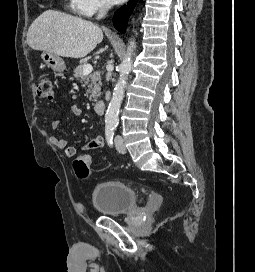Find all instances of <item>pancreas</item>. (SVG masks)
Returning <instances> with one entry per match:
<instances>
[{"label":"pancreas","mask_w":255,"mask_h":272,"mask_svg":"<svg viewBox=\"0 0 255 272\" xmlns=\"http://www.w3.org/2000/svg\"><path fill=\"white\" fill-rule=\"evenodd\" d=\"M87 63H82L76 69H74V77L77 80L84 81L83 87L88 86L86 96L90 101H97L101 95V77L100 72L96 71L84 77L83 69Z\"/></svg>","instance_id":"1"}]
</instances>
